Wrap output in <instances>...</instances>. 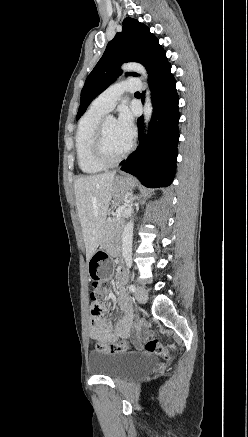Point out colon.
<instances>
[{
    "mask_svg": "<svg viewBox=\"0 0 248 437\" xmlns=\"http://www.w3.org/2000/svg\"><path fill=\"white\" fill-rule=\"evenodd\" d=\"M110 291L111 285L108 281L105 286H100L98 284V280H95L92 283L90 296L93 301L99 302L106 296H108ZM144 347L145 350L150 353L162 356L166 359L170 358L169 350L163 344H161L157 338H151L147 340L144 344ZM97 350L101 352L121 353L127 350V344L125 341L113 343H99L97 345Z\"/></svg>",
    "mask_w": 248,
    "mask_h": 437,
    "instance_id": "colon-1",
    "label": "colon"
}]
</instances>
